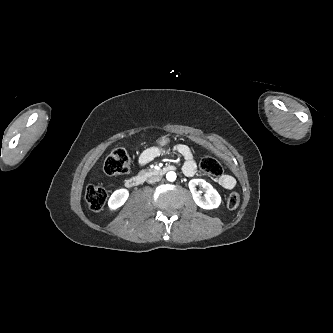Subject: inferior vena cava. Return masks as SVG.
<instances>
[{
	"label": "inferior vena cava",
	"mask_w": 333,
	"mask_h": 333,
	"mask_svg": "<svg viewBox=\"0 0 333 333\" xmlns=\"http://www.w3.org/2000/svg\"><path fill=\"white\" fill-rule=\"evenodd\" d=\"M161 180V176H154V177H151L149 180H148V182L149 183H155V182H158V181H160Z\"/></svg>",
	"instance_id": "inferior-vena-cava-1"
}]
</instances>
